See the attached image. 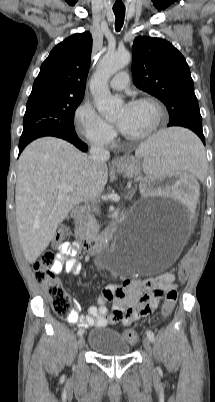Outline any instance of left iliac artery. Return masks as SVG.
Returning a JSON list of instances; mask_svg holds the SVG:
<instances>
[{"instance_id":"obj_1","label":"left iliac artery","mask_w":215,"mask_h":402,"mask_svg":"<svg viewBox=\"0 0 215 402\" xmlns=\"http://www.w3.org/2000/svg\"><path fill=\"white\" fill-rule=\"evenodd\" d=\"M146 333L149 340L153 342L155 340L154 333L151 330H147Z\"/></svg>"}]
</instances>
